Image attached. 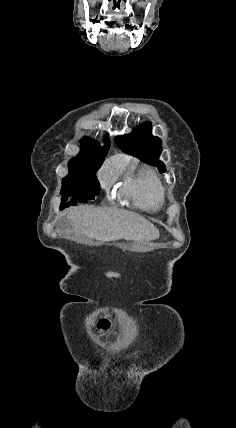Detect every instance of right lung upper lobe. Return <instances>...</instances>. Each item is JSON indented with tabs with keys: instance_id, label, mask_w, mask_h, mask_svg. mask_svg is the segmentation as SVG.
Returning a JSON list of instances; mask_svg holds the SVG:
<instances>
[{
	"instance_id": "obj_1",
	"label": "right lung upper lobe",
	"mask_w": 236,
	"mask_h": 428,
	"mask_svg": "<svg viewBox=\"0 0 236 428\" xmlns=\"http://www.w3.org/2000/svg\"><path fill=\"white\" fill-rule=\"evenodd\" d=\"M104 142L106 145L100 147L93 139L84 137L80 153L69 161L68 167L99 169L110 146L109 138L105 137Z\"/></svg>"
}]
</instances>
